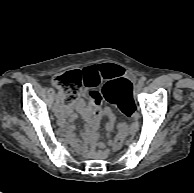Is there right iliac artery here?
I'll use <instances>...</instances> for the list:
<instances>
[{
    "label": "right iliac artery",
    "mask_w": 194,
    "mask_h": 193,
    "mask_svg": "<svg viewBox=\"0 0 194 193\" xmlns=\"http://www.w3.org/2000/svg\"><path fill=\"white\" fill-rule=\"evenodd\" d=\"M58 89H59V92H62V89L60 87H58Z\"/></svg>",
    "instance_id": "obj_1"
}]
</instances>
